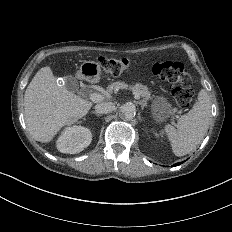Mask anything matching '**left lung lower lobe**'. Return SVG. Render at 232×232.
Segmentation results:
<instances>
[{"instance_id":"left-lung-lower-lobe-1","label":"left lung lower lobe","mask_w":232,"mask_h":232,"mask_svg":"<svg viewBox=\"0 0 232 232\" xmlns=\"http://www.w3.org/2000/svg\"><path fill=\"white\" fill-rule=\"evenodd\" d=\"M181 163H176V164H174L173 166H178V165H180Z\"/></svg>"}]
</instances>
